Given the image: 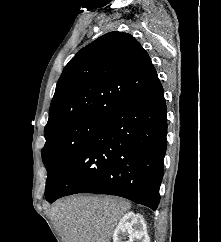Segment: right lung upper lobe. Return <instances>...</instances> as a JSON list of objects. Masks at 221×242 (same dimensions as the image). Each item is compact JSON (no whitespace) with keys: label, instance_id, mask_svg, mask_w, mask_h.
<instances>
[{"label":"right lung upper lobe","instance_id":"1","mask_svg":"<svg viewBox=\"0 0 221 242\" xmlns=\"http://www.w3.org/2000/svg\"><path fill=\"white\" fill-rule=\"evenodd\" d=\"M157 79L148 53L133 36L107 33L64 68L44 131L79 119H104Z\"/></svg>","mask_w":221,"mask_h":242}]
</instances>
